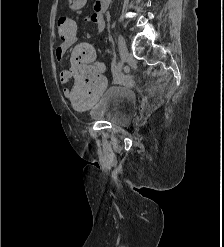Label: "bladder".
<instances>
[{
    "mask_svg": "<svg viewBox=\"0 0 224 247\" xmlns=\"http://www.w3.org/2000/svg\"><path fill=\"white\" fill-rule=\"evenodd\" d=\"M136 94L128 86L108 87L87 111L90 118L117 126L130 125L136 116Z\"/></svg>",
    "mask_w": 224,
    "mask_h": 247,
    "instance_id": "1",
    "label": "bladder"
}]
</instances>
